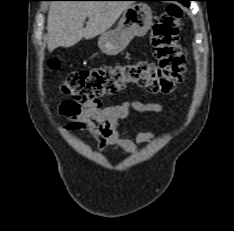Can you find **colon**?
Here are the masks:
<instances>
[{"label": "colon", "instance_id": "1", "mask_svg": "<svg viewBox=\"0 0 234 231\" xmlns=\"http://www.w3.org/2000/svg\"><path fill=\"white\" fill-rule=\"evenodd\" d=\"M182 9L169 6L160 14L152 30L151 44L156 64L138 61L105 65L70 73L62 83L68 97L63 109L69 114L79 112L80 106L98 98L114 95L128 86H136L152 93H169L181 83L186 71V58L179 42ZM51 68L58 59L49 61Z\"/></svg>", "mask_w": 234, "mask_h": 231}]
</instances>
